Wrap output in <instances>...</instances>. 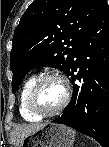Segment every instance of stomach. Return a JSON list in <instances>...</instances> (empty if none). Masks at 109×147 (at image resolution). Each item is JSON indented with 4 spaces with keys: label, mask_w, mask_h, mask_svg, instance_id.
Instances as JSON below:
<instances>
[{
    "label": "stomach",
    "mask_w": 109,
    "mask_h": 147,
    "mask_svg": "<svg viewBox=\"0 0 109 147\" xmlns=\"http://www.w3.org/2000/svg\"><path fill=\"white\" fill-rule=\"evenodd\" d=\"M75 132L62 124H45L26 136L20 147H72Z\"/></svg>",
    "instance_id": "stomach-1"
}]
</instances>
